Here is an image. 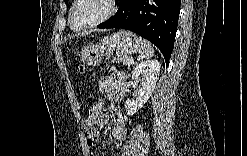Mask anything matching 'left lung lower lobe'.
<instances>
[{
	"label": "left lung lower lobe",
	"instance_id": "1",
	"mask_svg": "<svg viewBox=\"0 0 247 156\" xmlns=\"http://www.w3.org/2000/svg\"><path fill=\"white\" fill-rule=\"evenodd\" d=\"M181 0H120L117 13L98 28L130 30L159 48L166 64L174 47Z\"/></svg>",
	"mask_w": 247,
	"mask_h": 156
}]
</instances>
